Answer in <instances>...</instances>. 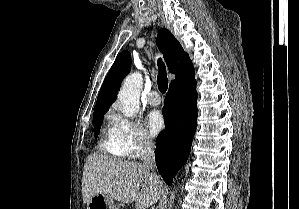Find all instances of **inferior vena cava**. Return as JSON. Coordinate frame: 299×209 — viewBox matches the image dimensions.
<instances>
[{"label": "inferior vena cava", "instance_id": "602c4592", "mask_svg": "<svg viewBox=\"0 0 299 209\" xmlns=\"http://www.w3.org/2000/svg\"><path fill=\"white\" fill-rule=\"evenodd\" d=\"M154 148V143L149 138L145 139L143 143L141 160L143 162V167L147 170H154L156 167Z\"/></svg>", "mask_w": 299, "mask_h": 209}]
</instances>
